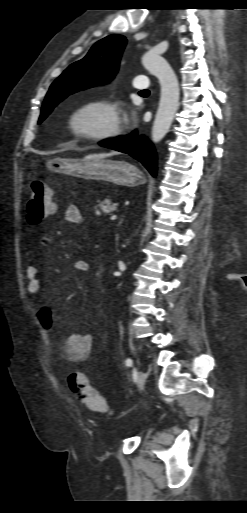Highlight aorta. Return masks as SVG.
<instances>
[{"instance_id": "1", "label": "aorta", "mask_w": 247, "mask_h": 513, "mask_svg": "<svg viewBox=\"0 0 247 513\" xmlns=\"http://www.w3.org/2000/svg\"><path fill=\"white\" fill-rule=\"evenodd\" d=\"M142 64L159 81L160 101L152 126V141L160 142L168 133L179 105V83L169 63L160 55L147 52Z\"/></svg>"}]
</instances>
